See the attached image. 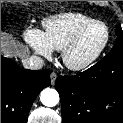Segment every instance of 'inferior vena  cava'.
Wrapping results in <instances>:
<instances>
[{"mask_svg": "<svg viewBox=\"0 0 123 123\" xmlns=\"http://www.w3.org/2000/svg\"><path fill=\"white\" fill-rule=\"evenodd\" d=\"M24 68L31 70H39L44 65V60L39 56H31L22 61Z\"/></svg>", "mask_w": 123, "mask_h": 123, "instance_id": "inferior-vena-cava-1", "label": "inferior vena cava"}]
</instances>
